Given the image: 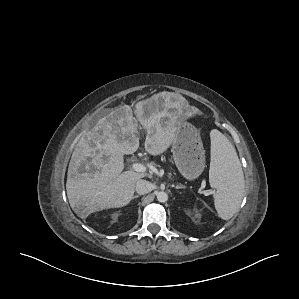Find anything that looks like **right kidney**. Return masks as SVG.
<instances>
[{"mask_svg":"<svg viewBox=\"0 0 299 299\" xmlns=\"http://www.w3.org/2000/svg\"><path fill=\"white\" fill-rule=\"evenodd\" d=\"M119 216H120V214L115 213V214L113 215V219H114L115 221H117V219H118Z\"/></svg>","mask_w":299,"mask_h":299,"instance_id":"ca27d5eb","label":"right kidney"}]
</instances>
